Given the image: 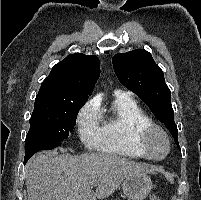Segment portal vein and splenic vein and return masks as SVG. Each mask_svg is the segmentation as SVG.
I'll list each match as a JSON object with an SVG mask.
<instances>
[{"label":"portal vein and splenic vein","mask_w":201,"mask_h":200,"mask_svg":"<svg viewBox=\"0 0 201 200\" xmlns=\"http://www.w3.org/2000/svg\"><path fill=\"white\" fill-rule=\"evenodd\" d=\"M96 185H97V182L93 181L92 186H96Z\"/></svg>","instance_id":"obj_1"}]
</instances>
